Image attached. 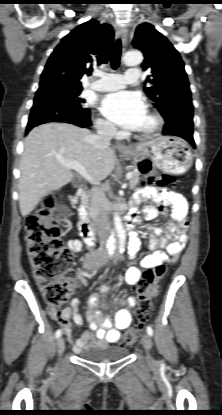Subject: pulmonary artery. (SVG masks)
I'll return each instance as SVG.
<instances>
[{"instance_id":"e3ab8cb5","label":"pulmonary artery","mask_w":222,"mask_h":415,"mask_svg":"<svg viewBox=\"0 0 222 415\" xmlns=\"http://www.w3.org/2000/svg\"><path fill=\"white\" fill-rule=\"evenodd\" d=\"M100 79L91 83L90 88L99 92L114 91L123 88L126 84H135L139 81L140 71L138 68L128 70L121 74H97Z\"/></svg>"}]
</instances>
